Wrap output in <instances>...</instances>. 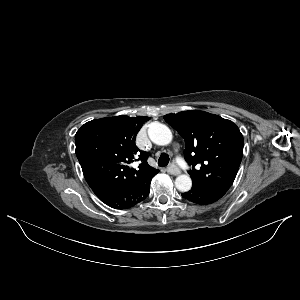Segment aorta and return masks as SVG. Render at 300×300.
I'll use <instances>...</instances> for the list:
<instances>
[{
    "instance_id": "obj_1",
    "label": "aorta",
    "mask_w": 300,
    "mask_h": 300,
    "mask_svg": "<svg viewBox=\"0 0 300 300\" xmlns=\"http://www.w3.org/2000/svg\"><path fill=\"white\" fill-rule=\"evenodd\" d=\"M148 134L153 143L157 145H168L172 141V132L164 124L152 123ZM175 186L181 192H187L192 187V180L189 175L182 174L176 177Z\"/></svg>"
}]
</instances>
